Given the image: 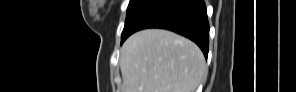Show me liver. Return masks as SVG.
I'll use <instances>...</instances> for the list:
<instances>
[{
    "instance_id": "liver-1",
    "label": "liver",
    "mask_w": 296,
    "mask_h": 92,
    "mask_svg": "<svg viewBox=\"0 0 296 92\" xmlns=\"http://www.w3.org/2000/svg\"><path fill=\"white\" fill-rule=\"evenodd\" d=\"M123 92H195L206 62L192 41L162 29L134 33L120 56Z\"/></svg>"
}]
</instances>
